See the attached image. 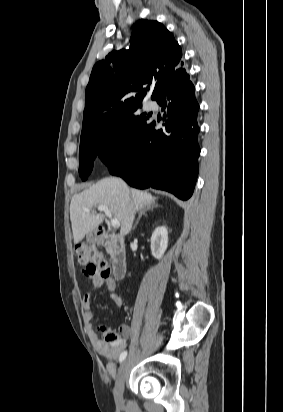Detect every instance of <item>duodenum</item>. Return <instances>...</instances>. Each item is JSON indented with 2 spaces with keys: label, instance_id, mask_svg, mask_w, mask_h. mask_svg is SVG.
<instances>
[{
  "label": "duodenum",
  "instance_id": "410a0bca",
  "mask_svg": "<svg viewBox=\"0 0 283 412\" xmlns=\"http://www.w3.org/2000/svg\"><path fill=\"white\" fill-rule=\"evenodd\" d=\"M97 243L109 247L112 274L118 280L123 279L127 272V260L122 237L118 234H108L105 228L100 227L97 232Z\"/></svg>",
  "mask_w": 283,
  "mask_h": 412
}]
</instances>
